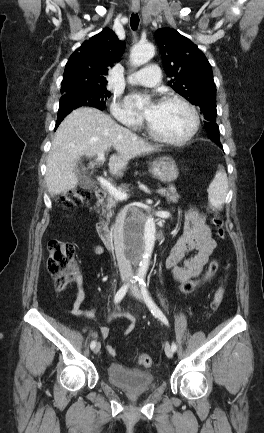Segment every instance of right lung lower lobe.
Wrapping results in <instances>:
<instances>
[{"mask_svg":"<svg viewBox=\"0 0 264 433\" xmlns=\"http://www.w3.org/2000/svg\"><path fill=\"white\" fill-rule=\"evenodd\" d=\"M64 118H62V119H58L57 120V122H56V126H55V129L59 126V124L61 123V121L63 120Z\"/></svg>","mask_w":264,"mask_h":433,"instance_id":"right-lung-lower-lobe-1","label":"right lung lower lobe"}]
</instances>
